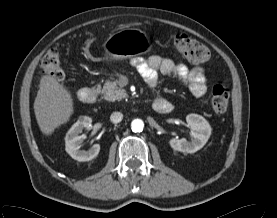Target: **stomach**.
I'll use <instances>...</instances> for the list:
<instances>
[{"label":"stomach","mask_w":277,"mask_h":218,"mask_svg":"<svg viewBox=\"0 0 277 218\" xmlns=\"http://www.w3.org/2000/svg\"><path fill=\"white\" fill-rule=\"evenodd\" d=\"M151 44L145 32L137 28H127L109 36L103 48L111 59L119 60L148 52Z\"/></svg>","instance_id":"1"}]
</instances>
